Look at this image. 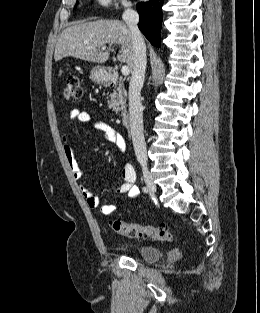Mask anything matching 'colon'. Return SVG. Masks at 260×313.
Returning a JSON list of instances; mask_svg holds the SVG:
<instances>
[{
	"label": "colon",
	"instance_id": "colon-1",
	"mask_svg": "<svg viewBox=\"0 0 260 313\" xmlns=\"http://www.w3.org/2000/svg\"><path fill=\"white\" fill-rule=\"evenodd\" d=\"M82 94L83 91L79 77H69L63 91L64 98L66 100H78L82 97ZM110 225L116 233L130 238L161 242H171L174 240L173 233L163 225H140L121 220H112L110 221Z\"/></svg>",
	"mask_w": 260,
	"mask_h": 313
}]
</instances>
